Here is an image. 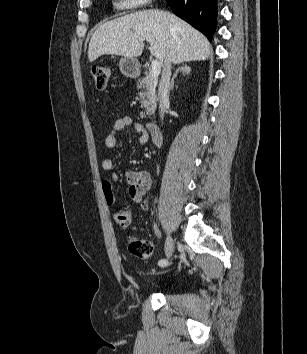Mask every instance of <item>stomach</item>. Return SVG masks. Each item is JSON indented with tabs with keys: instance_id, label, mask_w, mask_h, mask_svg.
Masks as SVG:
<instances>
[{
	"instance_id": "stomach-1",
	"label": "stomach",
	"mask_w": 307,
	"mask_h": 354,
	"mask_svg": "<svg viewBox=\"0 0 307 354\" xmlns=\"http://www.w3.org/2000/svg\"><path fill=\"white\" fill-rule=\"evenodd\" d=\"M119 68L121 73L126 77L135 78L140 74V64L135 58H121Z\"/></svg>"
}]
</instances>
